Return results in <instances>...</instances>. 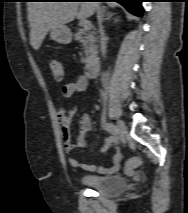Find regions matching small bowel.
Returning a JSON list of instances; mask_svg holds the SVG:
<instances>
[{
  "instance_id": "1",
  "label": "small bowel",
  "mask_w": 188,
  "mask_h": 213,
  "mask_svg": "<svg viewBox=\"0 0 188 213\" xmlns=\"http://www.w3.org/2000/svg\"><path fill=\"white\" fill-rule=\"evenodd\" d=\"M61 91L62 95L68 100H71L73 95L76 93L86 94L88 93V80L86 77L80 76L72 82L64 83L61 87ZM76 111L77 105L74 102H70L66 110L60 108L57 111V117L61 125V137L66 153H71L77 148H85L87 146V136L92 126L90 115L88 113L82 114L79 119V135L74 142L72 139L71 123ZM113 142V137L108 138L101 151L106 152ZM122 159L123 156L121 151L116 149L109 165L97 167L95 165L84 164L74 156H70L68 158V162L72 167L75 168H82L87 171H97L102 174H108L116 172L120 169Z\"/></svg>"
}]
</instances>
